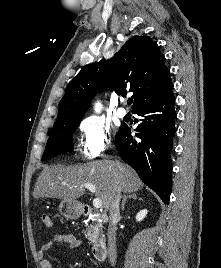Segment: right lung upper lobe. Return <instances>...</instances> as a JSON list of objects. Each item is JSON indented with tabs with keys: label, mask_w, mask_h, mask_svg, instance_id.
Wrapping results in <instances>:
<instances>
[{
	"label": "right lung upper lobe",
	"mask_w": 221,
	"mask_h": 268,
	"mask_svg": "<svg viewBox=\"0 0 221 268\" xmlns=\"http://www.w3.org/2000/svg\"><path fill=\"white\" fill-rule=\"evenodd\" d=\"M106 87L123 96L132 92L133 111L172 92L173 84L158 45L149 37L135 36L110 60L85 66L69 82L56 122L83 117L93 96Z\"/></svg>",
	"instance_id": "1"
}]
</instances>
